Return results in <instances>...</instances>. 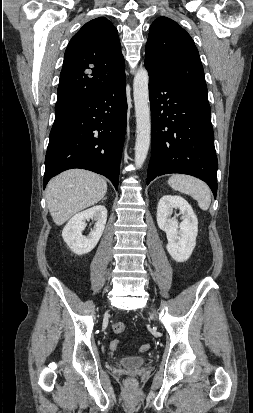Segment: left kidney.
Wrapping results in <instances>:
<instances>
[{"instance_id":"5707ae66","label":"left kidney","mask_w":253,"mask_h":413,"mask_svg":"<svg viewBox=\"0 0 253 413\" xmlns=\"http://www.w3.org/2000/svg\"><path fill=\"white\" fill-rule=\"evenodd\" d=\"M174 209H179L181 222L179 223ZM157 224L166 233V249L177 262L187 261L195 246L198 234V220L190 204L180 196L164 195L157 206Z\"/></svg>"}]
</instances>
